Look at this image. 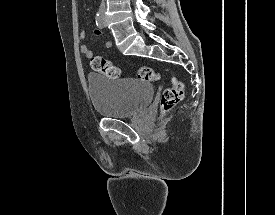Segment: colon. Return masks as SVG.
Returning a JSON list of instances; mask_svg holds the SVG:
<instances>
[{"label": "colon", "instance_id": "5ec220e1", "mask_svg": "<svg viewBox=\"0 0 275 215\" xmlns=\"http://www.w3.org/2000/svg\"><path fill=\"white\" fill-rule=\"evenodd\" d=\"M91 68L102 74L107 78H117L120 70L117 66L113 65L110 61L103 57L95 56L90 61ZM137 76L140 80L154 82L159 80V72L151 67L143 66L137 71ZM184 96V84L180 80H173L170 87L166 88L160 99V109L166 113L173 109Z\"/></svg>", "mask_w": 275, "mask_h": 215}]
</instances>
